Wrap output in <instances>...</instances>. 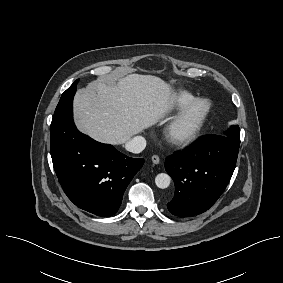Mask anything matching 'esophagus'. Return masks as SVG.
I'll use <instances>...</instances> for the list:
<instances>
[{
	"label": "esophagus",
	"mask_w": 283,
	"mask_h": 283,
	"mask_svg": "<svg viewBox=\"0 0 283 283\" xmlns=\"http://www.w3.org/2000/svg\"><path fill=\"white\" fill-rule=\"evenodd\" d=\"M151 160H152V162H153L154 164H159V163H160V158H159V156H157V155H153L152 158H151Z\"/></svg>",
	"instance_id": "esophagus-1"
}]
</instances>
